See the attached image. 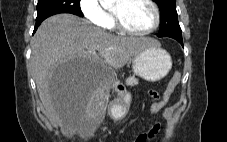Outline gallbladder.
<instances>
[{
    "mask_svg": "<svg viewBox=\"0 0 227 142\" xmlns=\"http://www.w3.org/2000/svg\"><path fill=\"white\" fill-rule=\"evenodd\" d=\"M107 98L105 97L104 93H97L95 98V104L93 108L95 109L96 113H103Z\"/></svg>",
    "mask_w": 227,
    "mask_h": 142,
    "instance_id": "obj_1",
    "label": "gallbladder"
}]
</instances>
